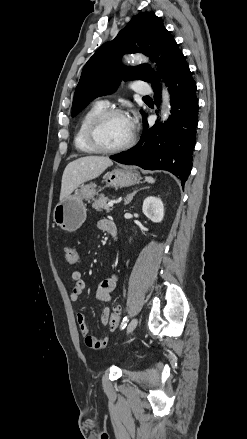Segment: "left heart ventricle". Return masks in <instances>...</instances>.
<instances>
[{"label": "left heart ventricle", "instance_id": "1", "mask_svg": "<svg viewBox=\"0 0 247 439\" xmlns=\"http://www.w3.org/2000/svg\"><path fill=\"white\" fill-rule=\"evenodd\" d=\"M131 133L127 117L113 116L102 124L99 137L103 145L113 148L127 142Z\"/></svg>", "mask_w": 247, "mask_h": 439}]
</instances>
